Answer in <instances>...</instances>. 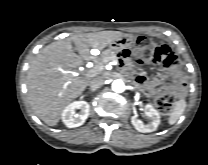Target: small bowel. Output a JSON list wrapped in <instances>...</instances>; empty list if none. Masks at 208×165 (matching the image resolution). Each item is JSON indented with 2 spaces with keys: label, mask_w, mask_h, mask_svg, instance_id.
<instances>
[{
  "label": "small bowel",
  "mask_w": 208,
  "mask_h": 165,
  "mask_svg": "<svg viewBox=\"0 0 208 165\" xmlns=\"http://www.w3.org/2000/svg\"><path fill=\"white\" fill-rule=\"evenodd\" d=\"M124 72L126 74H131L135 83L141 86L149 96H153L155 94L156 85L163 80V77L159 76L153 79L152 81H149L144 73L131 72L128 66H124ZM171 74L179 80L182 78L181 73L178 72L177 70H172Z\"/></svg>",
  "instance_id": "c3829d8e"
}]
</instances>
